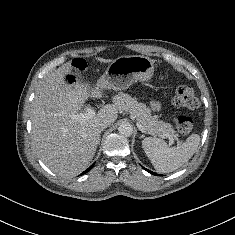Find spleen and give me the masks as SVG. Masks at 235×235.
<instances>
[{"mask_svg": "<svg viewBox=\"0 0 235 235\" xmlns=\"http://www.w3.org/2000/svg\"><path fill=\"white\" fill-rule=\"evenodd\" d=\"M199 143L198 134L190 135L183 144L176 147H169L162 139L147 137L142 140V147L157 172L169 173L188 162Z\"/></svg>", "mask_w": 235, "mask_h": 235, "instance_id": "obj_1", "label": "spleen"}]
</instances>
